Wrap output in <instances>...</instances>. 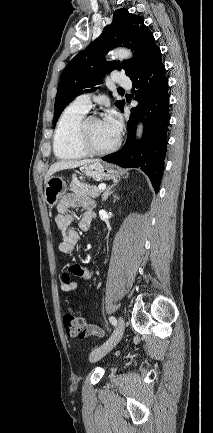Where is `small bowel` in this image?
<instances>
[{
    "instance_id": "c3829d8e",
    "label": "small bowel",
    "mask_w": 213,
    "mask_h": 433,
    "mask_svg": "<svg viewBox=\"0 0 213 433\" xmlns=\"http://www.w3.org/2000/svg\"><path fill=\"white\" fill-rule=\"evenodd\" d=\"M79 207L83 210V214L80 218H76L70 210L72 208ZM94 202L86 197H81L76 194L66 195L57 206V216L55 218L56 225L60 232V243L58 249L61 253L73 252L80 240V234L77 230L71 228L73 222H77L78 227L86 231L93 218ZM68 273L71 276L79 277L85 280H89L93 277V271L89 268L80 266L79 264H72L68 268ZM79 284L75 280L64 282L61 289L65 292H72L77 290ZM87 327L89 336L101 337L103 331L97 325L90 324Z\"/></svg>"
}]
</instances>
